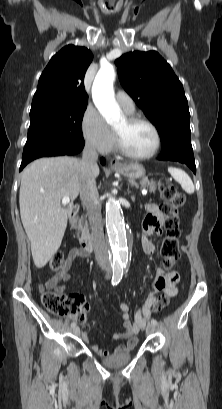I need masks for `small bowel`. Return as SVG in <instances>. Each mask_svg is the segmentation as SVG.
Masks as SVG:
<instances>
[{
  "label": "small bowel",
  "mask_w": 222,
  "mask_h": 409,
  "mask_svg": "<svg viewBox=\"0 0 222 409\" xmlns=\"http://www.w3.org/2000/svg\"><path fill=\"white\" fill-rule=\"evenodd\" d=\"M145 209L147 211V216L143 223L141 243L144 252L147 255H152L155 251L152 239L154 236L161 233L164 216L159 205L156 203H147ZM86 257L87 254H85L81 248H72L65 259V268L46 280L41 285L40 290L54 289L63 292L66 283L73 282L75 284H80V280L73 278L68 270L71 268L75 260ZM179 280L180 277L177 272H165L159 268L153 289L147 292L142 305L135 313L133 321L130 318V306L124 301L119 302V309L122 316V330L114 332L112 337L115 340L126 339V343L119 346L115 352L131 350L136 346L138 342L137 334L145 327L147 321L151 317V308L153 304L157 302L161 295H166L168 297L176 296L178 294L177 285ZM83 338L87 339V336L83 335ZM92 349L96 354L101 356H109L112 353L108 349H102L97 346H93Z\"/></svg>",
  "instance_id": "1"
}]
</instances>
